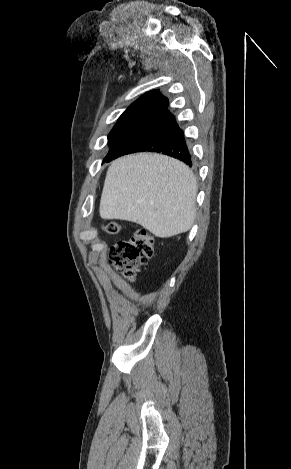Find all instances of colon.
<instances>
[{
    "label": "colon",
    "mask_w": 291,
    "mask_h": 469,
    "mask_svg": "<svg viewBox=\"0 0 291 469\" xmlns=\"http://www.w3.org/2000/svg\"><path fill=\"white\" fill-rule=\"evenodd\" d=\"M105 232L118 234L121 225L109 222L103 226ZM153 255V238L145 229H138L128 239L115 243L109 251L110 263L129 281H133L137 270Z\"/></svg>",
    "instance_id": "obj_1"
}]
</instances>
